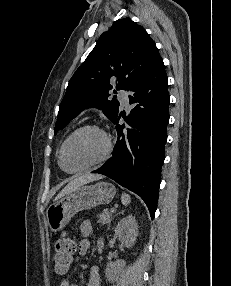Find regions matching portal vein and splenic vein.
Returning <instances> with one entry per match:
<instances>
[{
    "label": "portal vein and splenic vein",
    "mask_w": 231,
    "mask_h": 286,
    "mask_svg": "<svg viewBox=\"0 0 231 286\" xmlns=\"http://www.w3.org/2000/svg\"><path fill=\"white\" fill-rule=\"evenodd\" d=\"M115 211V208H111V212H114Z\"/></svg>",
    "instance_id": "portal-vein-and-splenic-vein-1"
}]
</instances>
